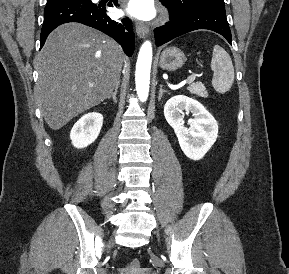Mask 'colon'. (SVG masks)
Segmentation results:
<instances>
[{
	"label": "colon",
	"instance_id": "obj_1",
	"mask_svg": "<svg viewBox=\"0 0 289 274\" xmlns=\"http://www.w3.org/2000/svg\"><path fill=\"white\" fill-rule=\"evenodd\" d=\"M139 268H140V262L138 259L134 258L128 262L127 267L124 270L135 271V270H138Z\"/></svg>",
	"mask_w": 289,
	"mask_h": 274
}]
</instances>
